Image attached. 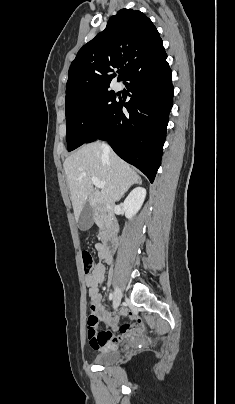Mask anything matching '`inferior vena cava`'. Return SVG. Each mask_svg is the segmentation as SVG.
Here are the masks:
<instances>
[{"label": "inferior vena cava", "mask_w": 235, "mask_h": 404, "mask_svg": "<svg viewBox=\"0 0 235 404\" xmlns=\"http://www.w3.org/2000/svg\"><path fill=\"white\" fill-rule=\"evenodd\" d=\"M104 151L105 152H109L110 151V147L108 144H104Z\"/></svg>", "instance_id": "obj_1"}]
</instances>
